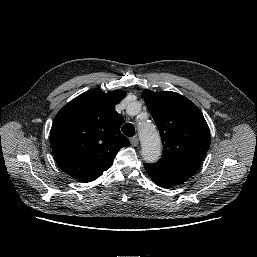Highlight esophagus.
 <instances>
[{
  "mask_svg": "<svg viewBox=\"0 0 257 257\" xmlns=\"http://www.w3.org/2000/svg\"><path fill=\"white\" fill-rule=\"evenodd\" d=\"M130 143L132 146H137L138 145V137L134 136L130 139Z\"/></svg>",
  "mask_w": 257,
  "mask_h": 257,
  "instance_id": "obj_1",
  "label": "esophagus"
}]
</instances>
